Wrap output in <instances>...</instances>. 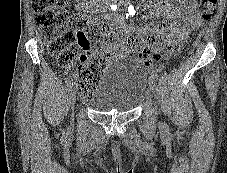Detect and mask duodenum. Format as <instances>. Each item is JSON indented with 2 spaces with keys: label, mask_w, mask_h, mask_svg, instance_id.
<instances>
[{
  "label": "duodenum",
  "mask_w": 227,
  "mask_h": 173,
  "mask_svg": "<svg viewBox=\"0 0 227 173\" xmlns=\"http://www.w3.org/2000/svg\"><path fill=\"white\" fill-rule=\"evenodd\" d=\"M102 1L106 6L111 7L113 5H120L123 0H102Z\"/></svg>",
  "instance_id": "obj_1"
}]
</instances>
